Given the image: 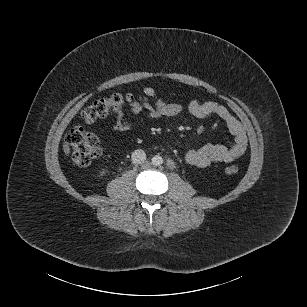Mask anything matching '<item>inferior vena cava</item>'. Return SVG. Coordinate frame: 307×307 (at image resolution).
<instances>
[{"label":"inferior vena cava","mask_w":307,"mask_h":307,"mask_svg":"<svg viewBox=\"0 0 307 307\" xmlns=\"http://www.w3.org/2000/svg\"><path fill=\"white\" fill-rule=\"evenodd\" d=\"M146 160V153L142 149H138L133 151L132 153V161L133 163L140 164Z\"/></svg>","instance_id":"1"}]
</instances>
